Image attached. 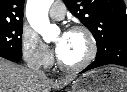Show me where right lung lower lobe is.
I'll list each match as a JSON object with an SVG mask.
<instances>
[{"label": "right lung lower lobe", "instance_id": "obj_1", "mask_svg": "<svg viewBox=\"0 0 127 92\" xmlns=\"http://www.w3.org/2000/svg\"><path fill=\"white\" fill-rule=\"evenodd\" d=\"M0 57L16 62L21 59L22 53H14L0 48Z\"/></svg>", "mask_w": 127, "mask_h": 92}]
</instances>
